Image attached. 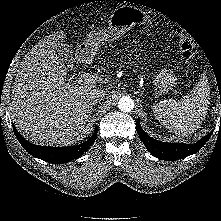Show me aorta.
Wrapping results in <instances>:
<instances>
[{
    "mask_svg": "<svg viewBox=\"0 0 221 221\" xmlns=\"http://www.w3.org/2000/svg\"><path fill=\"white\" fill-rule=\"evenodd\" d=\"M118 108L122 112H131L134 108V101L129 96H123L119 99Z\"/></svg>",
    "mask_w": 221,
    "mask_h": 221,
    "instance_id": "1",
    "label": "aorta"
}]
</instances>
